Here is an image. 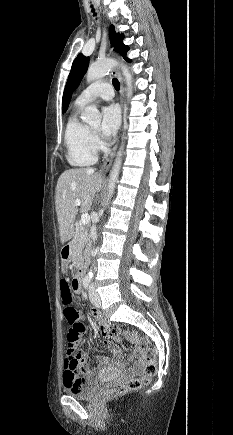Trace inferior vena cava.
I'll use <instances>...</instances> for the list:
<instances>
[{"label":"inferior vena cava","instance_id":"obj_1","mask_svg":"<svg viewBox=\"0 0 233 435\" xmlns=\"http://www.w3.org/2000/svg\"><path fill=\"white\" fill-rule=\"evenodd\" d=\"M90 237L95 241L97 239V230L96 226L93 225L90 230Z\"/></svg>","mask_w":233,"mask_h":435}]
</instances>
